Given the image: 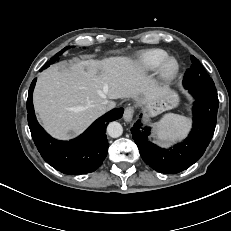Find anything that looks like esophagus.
I'll list each match as a JSON object with an SVG mask.
<instances>
[{"instance_id": "1", "label": "esophagus", "mask_w": 231, "mask_h": 231, "mask_svg": "<svg viewBox=\"0 0 231 231\" xmlns=\"http://www.w3.org/2000/svg\"><path fill=\"white\" fill-rule=\"evenodd\" d=\"M133 115H134L133 107H127V108H125V111L123 114V119L127 122H130L133 118Z\"/></svg>"}]
</instances>
